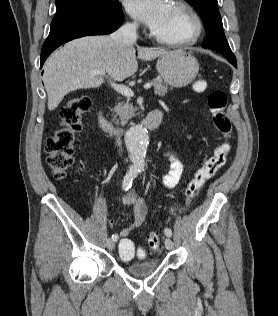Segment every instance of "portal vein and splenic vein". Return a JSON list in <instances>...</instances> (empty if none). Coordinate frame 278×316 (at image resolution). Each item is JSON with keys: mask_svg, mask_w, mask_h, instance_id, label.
Returning a JSON list of instances; mask_svg holds the SVG:
<instances>
[{"mask_svg": "<svg viewBox=\"0 0 278 316\" xmlns=\"http://www.w3.org/2000/svg\"><path fill=\"white\" fill-rule=\"evenodd\" d=\"M94 75H100L103 74L102 71H95L93 73ZM112 87L119 93H121L122 95L126 96V97H132L134 95L133 90L127 86L124 85H120V84H116V83H111ZM151 83H146L143 87L144 89H149L151 88Z\"/></svg>", "mask_w": 278, "mask_h": 316, "instance_id": "1", "label": "portal vein and splenic vein"}]
</instances>
